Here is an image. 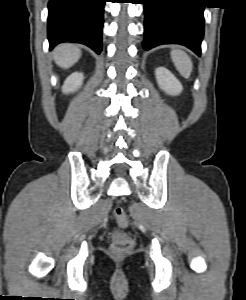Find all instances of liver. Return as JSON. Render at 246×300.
Masks as SVG:
<instances>
[{
    "instance_id": "1",
    "label": "liver",
    "mask_w": 246,
    "mask_h": 300,
    "mask_svg": "<svg viewBox=\"0 0 246 300\" xmlns=\"http://www.w3.org/2000/svg\"><path fill=\"white\" fill-rule=\"evenodd\" d=\"M53 57L58 66L67 69L79 60L81 51L75 44L64 43L55 48Z\"/></svg>"
}]
</instances>
